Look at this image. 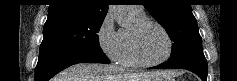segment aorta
<instances>
[{
  "label": "aorta",
  "instance_id": "762f6f07",
  "mask_svg": "<svg viewBox=\"0 0 237 81\" xmlns=\"http://www.w3.org/2000/svg\"><path fill=\"white\" fill-rule=\"evenodd\" d=\"M108 12L114 17L119 26H127L128 19L124 5H110Z\"/></svg>",
  "mask_w": 237,
  "mask_h": 81
}]
</instances>
